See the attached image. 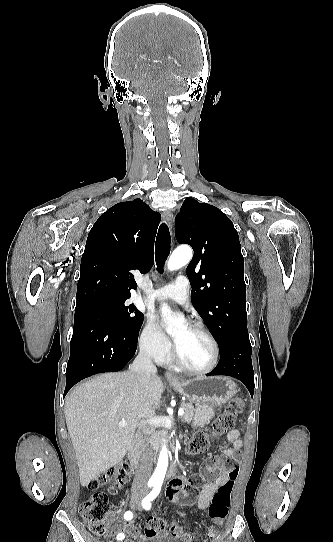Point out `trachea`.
<instances>
[{
  "mask_svg": "<svg viewBox=\"0 0 333 542\" xmlns=\"http://www.w3.org/2000/svg\"><path fill=\"white\" fill-rule=\"evenodd\" d=\"M171 237L168 226L162 223L158 230L155 246V260L158 272H162L164 263L170 253Z\"/></svg>",
  "mask_w": 333,
  "mask_h": 542,
  "instance_id": "obj_1",
  "label": "trachea"
}]
</instances>
